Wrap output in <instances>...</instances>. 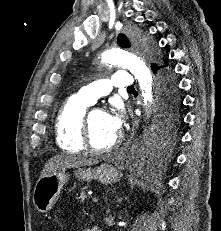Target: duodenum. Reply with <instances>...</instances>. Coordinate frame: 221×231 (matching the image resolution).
<instances>
[{
  "instance_id": "obj_1",
  "label": "duodenum",
  "mask_w": 221,
  "mask_h": 231,
  "mask_svg": "<svg viewBox=\"0 0 221 231\" xmlns=\"http://www.w3.org/2000/svg\"><path fill=\"white\" fill-rule=\"evenodd\" d=\"M90 231H102L100 227L98 226H92Z\"/></svg>"
}]
</instances>
